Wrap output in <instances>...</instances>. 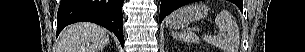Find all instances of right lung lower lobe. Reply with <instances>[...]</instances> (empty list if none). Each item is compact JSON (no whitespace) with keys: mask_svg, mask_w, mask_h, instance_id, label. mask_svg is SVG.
I'll list each match as a JSON object with an SVG mask.
<instances>
[{"mask_svg":"<svg viewBox=\"0 0 305 52\" xmlns=\"http://www.w3.org/2000/svg\"><path fill=\"white\" fill-rule=\"evenodd\" d=\"M124 0H61L57 14V33L71 23L93 22L112 31L124 47L123 14Z\"/></svg>","mask_w":305,"mask_h":52,"instance_id":"right-lung-lower-lobe-1","label":"right lung lower lobe"}]
</instances>
